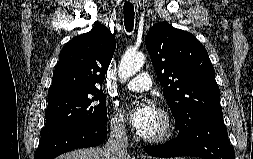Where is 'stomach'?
Returning <instances> with one entry per match:
<instances>
[{
    "mask_svg": "<svg viewBox=\"0 0 253 159\" xmlns=\"http://www.w3.org/2000/svg\"><path fill=\"white\" fill-rule=\"evenodd\" d=\"M175 159H185V158H183V157H180V158H175Z\"/></svg>",
    "mask_w": 253,
    "mask_h": 159,
    "instance_id": "obj_1",
    "label": "stomach"
}]
</instances>
